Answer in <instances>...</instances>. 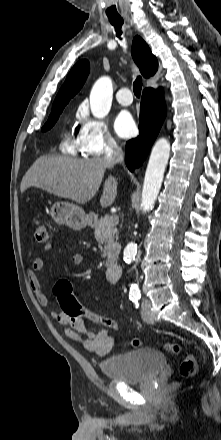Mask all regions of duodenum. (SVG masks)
Wrapping results in <instances>:
<instances>
[{
  "mask_svg": "<svg viewBox=\"0 0 221 440\" xmlns=\"http://www.w3.org/2000/svg\"><path fill=\"white\" fill-rule=\"evenodd\" d=\"M122 267L118 263H109L106 267V277L112 282H117L122 277Z\"/></svg>",
  "mask_w": 221,
  "mask_h": 440,
  "instance_id": "obj_1",
  "label": "duodenum"
}]
</instances>
